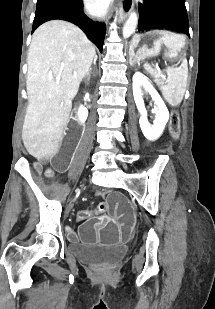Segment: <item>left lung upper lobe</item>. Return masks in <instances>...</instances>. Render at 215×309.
I'll list each match as a JSON object with an SVG mask.
<instances>
[{
    "label": "left lung upper lobe",
    "mask_w": 215,
    "mask_h": 309,
    "mask_svg": "<svg viewBox=\"0 0 215 309\" xmlns=\"http://www.w3.org/2000/svg\"><path fill=\"white\" fill-rule=\"evenodd\" d=\"M138 9V31L166 28L180 30L189 36L185 0H143Z\"/></svg>",
    "instance_id": "1"
}]
</instances>
